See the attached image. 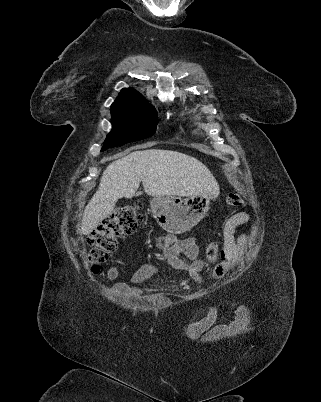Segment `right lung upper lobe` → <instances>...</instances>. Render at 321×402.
<instances>
[{
	"label": "right lung upper lobe",
	"instance_id": "cb5924a9",
	"mask_svg": "<svg viewBox=\"0 0 321 402\" xmlns=\"http://www.w3.org/2000/svg\"><path fill=\"white\" fill-rule=\"evenodd\" d=\"M113 104L153 108V106L147 103L145 98H143V96L138 91L132 88L122 89Z\"/></svg>",
	"mask_w": 321,
	"mask_h": 402
}]
</instances>
